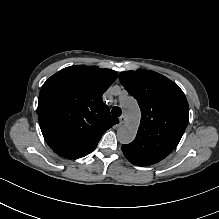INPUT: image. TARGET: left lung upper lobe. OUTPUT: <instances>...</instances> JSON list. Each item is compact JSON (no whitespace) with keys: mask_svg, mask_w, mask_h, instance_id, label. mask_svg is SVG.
<instances>
[{"mask_svg":"<svg viewBox=\"0 0 219 219\" xmlns=\"http://www.w3.org/2000/svg\"><path fill=\"white\" fill-rule=\"evenodd\" d=\"M119 80L141 110L136 138L122 148L142 161L155 164L177 147L186 129L187 99L178 85L151 70L121 72Z\"/></svg>","mask_w":219,"mask_h":219,"instance_id":"1","label":"left lung upper lobe"}]
</instances>
